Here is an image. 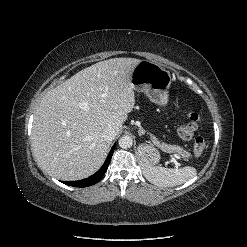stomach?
Wrapping results in <instances>:
<instances>
[{"instance_id": "1", "label": "stomach", "mask_w": 247, "mask_h": 247, "mask_svg": "<svg viewBox=\"0 0 247 247\" xmlns=\"http://www.w3.org/2000/svg\"><path fill=\"white\" fill-rule=\"evenodd\" d=\"M171 74L161 65L141 60L133 69L131 74V84L137 92H143L151 102L166 106L168 104V89L171 85ZM137 154L141 162L145 165L154 166L160 160L157 149L150 145H140Z\"/></svg>"}]
</instances>
